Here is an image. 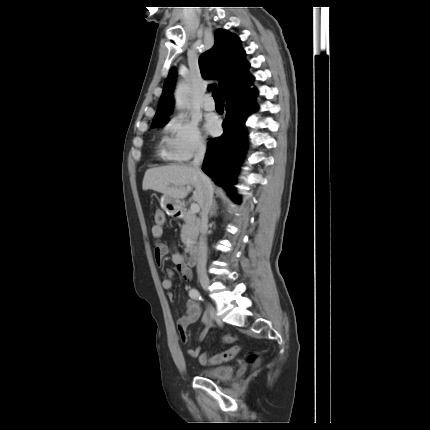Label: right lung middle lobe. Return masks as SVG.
Wrapping results in <instances>:
<instances>
[{"instance_id":"dd1d6c3e","label":"right lung middle lobe","mask_w":430,"mask_h":430,"mask_svg":"<svg viewBox=\"0 0 430 430\" xmlns=\"http://www.w3.org/2000/svg\"><path fill=\"white\" fill-rule=\"evenodd\" d=\"M168 121V120H167ZM167 121H163V122H159V123H154V124H152V126L151 127H156V126H158V125H161V126H163V125H165L166 124V122Z\"/></svg>"}]
</instances>
